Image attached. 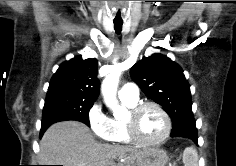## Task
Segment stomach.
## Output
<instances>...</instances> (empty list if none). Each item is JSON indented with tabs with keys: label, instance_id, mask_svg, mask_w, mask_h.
<instances>
[{
	"label": "stomach",
	"instance_id": "1",
	"mask_svg": "<svg viewBox=\"0 0 236 166\" xmlns=\"http://www.w3.org/2000/svg\"><path fill=\"white\" fill-rule=\"evenodd\" d=\"M168 163L167 152L159 148H150L143 151L140 160L129 166H166ZM119 166H127L125 163Z\"/></svg>",
	"mask_w": 236,
	"mask_h": 166
}]
</instances>
